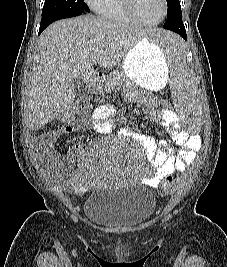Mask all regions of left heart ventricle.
I'll use <instances>...</instances> for the list:
<instances>
[{"label":"left heart ventricle","mask_w":227,"mask_h":267,"mask_svg":"<svg viewBox=\"0 0 227 267\" xmlns=\"http://www.w3.org/2000/svg\"><path fill=\"white\" fill-rule=\"evenodd\" d=\"M139 15L145 21H158L163 14L162 0H136Z\"/></svg>","instance_id":"b2bd125f"}]
</instances>
